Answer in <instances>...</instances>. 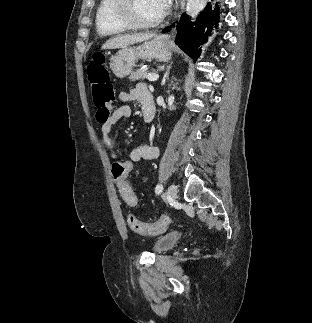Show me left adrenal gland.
Segmentation results:
<instances>
[{
  "mask_svg": "<svg viewBox=\"0 0 312 323\" xmlns=\"http://www.w3.org/2000/svg\"><path fill=\"white\" fill-rule=\"evenodd\" d=\"M172 64H169V66H167V72L164 76V80H169V72H170V68H171ZM164 86H165V82H163Z\"/></svg>",
  "mask_w": 312,
  "mask_h": 323,
  "instance_id": "a2214340",
  "label": "left adrenal gland"
}]
</instances>
